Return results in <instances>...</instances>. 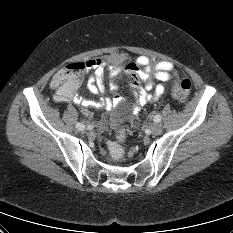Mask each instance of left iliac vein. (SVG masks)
<instances>
[{
	"label": "left iliac vein",
	"mask_w": 233,
	"mask_h": 233,
	"mask_svg": "<svg viewBox=\"0 0 233 233\" xmlns=\"http://www.w3.org/2000/svg\"><path fill=\"white\" fill-rule=\"evenodd\" d=\"M152 135H159L162 131V126L159 123H153L150 127Z\"/></svg>",
	"instance_id": "4c4485c4"
}]
</instances>
